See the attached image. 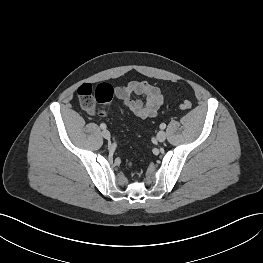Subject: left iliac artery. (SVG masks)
<instances>
[{
  "instance_id": "obj_1",
  "label": "left iliac artery",
  "mask_w": 263,
  "mask_h": 263,
  "mask_svg": "<svg viewBox=\"0 0 263 263\" xmlns=\"http://www.w3.org/2000/svg\"><path fill=\"white\" fill-rule=\"evenodd\" d=\"M160 128L161 129H165L166 128V124L165 123L160 124Z\"/></svg>"
}]
</instances>
